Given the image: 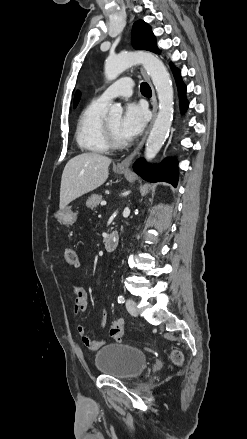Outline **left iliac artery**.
Instances as JSON below:
<instances>
[{"instance_id": "obj_1", "label": "left iliac artery", "mask_w": 247, "mask_h": 439, "mask_svg": "<svg viewBox=\"0 0 247 439\" xmlns=\"http://www.w3.org/2000/svg\"><path fill=\"white\" fill-rule=\"evenodd\" d=\"M125 301L124 297L122 295L118 296V303L123 304Z\"/></svg>"}]
</instances>
